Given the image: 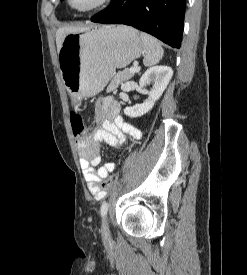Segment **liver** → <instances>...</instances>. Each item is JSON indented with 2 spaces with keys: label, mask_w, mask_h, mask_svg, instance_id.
<instances>
[{
  "label": "liver",
  "mask_w": 247,
  "mask_h": 275,
  "mask_svg": "<svg viewBox=\"0 0 247 275\" xmlns=\"http://www.w3.org/2000/svg\"><path fill=\"white\" fill-rule=\"evenodd\" d=\"M87 27H62L59 28L56 32V45H57V51L59 53L63 39L66 35L70 33H76V32H83L86 31Z\"/></svg>",
  "instance_id": "6515ba94"
}]
</instances>
